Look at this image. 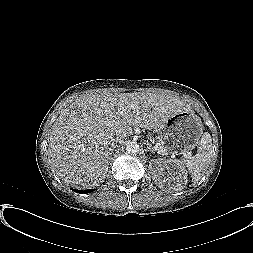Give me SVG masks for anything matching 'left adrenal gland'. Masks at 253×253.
<instances>
[{"label":"left adrenal gland","instance_id":"left-adrenal-gland-1","mask_svg":"<svg viewBox=\"0 0 253 253\" xmlns=\"http://www.w3.org/2000/svg\"><path fill=\"white\" fill-rule=\"evenodd\" d=\"M148 145V150L150 151V152H152V153H154V149H153V147L151 146V144H147Z\"/></svg>","mask_w":253,"mask_h":253}]
</instances>
